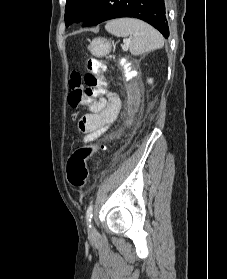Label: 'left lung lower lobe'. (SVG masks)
Returning a JSON list of instances; mask_svg holds the SVG:
<instances>
[{
    "mask_svg": "<svg viewBox=\"0 0 227 279\" xmlns=\"http://www.w3.org/2000/svg\"><path fill=\"white\" fill-rule=\"evenodd\" d=\"M121 17L141 19L169 36L164 0H96L82 26Z\"/></svg>",
    "mask_w": 227,
    "mask_h": 279,
    "instance_id": "1",
    "label": "left lung lower lobe"
}]
</instances>
